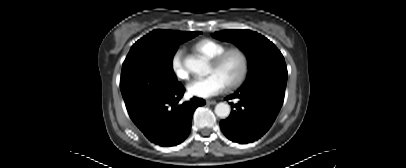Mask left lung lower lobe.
I'll return each instance as SVG.
<instances>
[{"label": "left lung lower lobe", "mask_w": 406, "mask_h": 168, "mask_svg": "<svg viewBox=\"0 0 406 168\" xmlns=\"http://www.w3.org/2000/svg\"><path fill=\"white\" fill-rule=\"evenodd\" d=\"M285 88L255 86L238 90L228 99H239L231 103L235 110L220 122L224 135L233 142L249 143L262 137L273 124L284 100Z\"/></svg>", "instance_id": "1"}]
</instances>
